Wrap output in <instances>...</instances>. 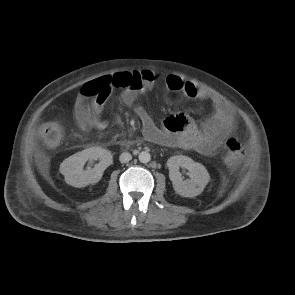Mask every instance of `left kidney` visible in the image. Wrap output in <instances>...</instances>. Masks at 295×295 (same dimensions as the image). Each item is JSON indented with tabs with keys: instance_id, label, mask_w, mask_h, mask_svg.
<instances>
[{
	"instance_id": "1",
	"label": "left kidney",
	"mask_w": 295,
	"mask_h": 295,
	"mask_svg": "<svg viewBox=\"0 0 295 295\" xmlns=\"http://www.w3.org/2000/svg\"><path fill=\"white\" fill-rule=\"evenodd\" d=\"M167 167L173 188L182 197L191 198L200 195L210 181L206 168L187 156L177 155L170 157L167 161ZM179 167L185 168L190 172V179L183 180Z\"/></svg>"
}]
</instances>
